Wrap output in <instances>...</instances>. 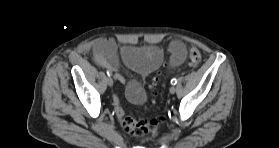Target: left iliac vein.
Returning <instances> with one entry per match:
<instances>
[{
	"label": "left iliac vein",
	"instance_id": "left-iliac-vein-1",
	"mask_svg": "<svg viewBox=\"0 0 279 148\" xmlns=\"http://www.w3.org/2000/svg\"><path fill=\"white\" fill-rule=\"evenodd\" d=\"M169 91H170L171 94H174L176 92L175 86H171Z\"/></svg>",
	"mask_w": 279,
	"mask_h": 148
}]
</instances>
